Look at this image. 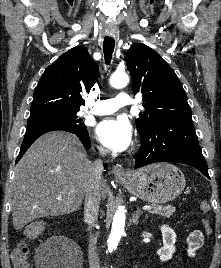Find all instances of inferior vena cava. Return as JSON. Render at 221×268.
Wrapping results in <instances>:
<instances>
[{
    "mask_svg": "<svg viewBox=\"0 0 221 268\" xmlns=\"http://www.w3.org/2000/svg\"><path fill=\"white\" fill-rule=\"evenodd\" d=\"M99 154L104 157L107 154L105 149H100ZM103 164L101 159H97L92 164L90 185L85 195L84 216L88 222V230L91 231L98 218L99 204L101 200V184L103 181ZM89 266L90 268H100L99 258L96 252V238L90 235L89 239Z\"/></svg>",
    "mask_w": 221,
    "mask_h": 268,
    "instance_id": "1",
    "label": "inferior vena cava"
}]
</instances>
